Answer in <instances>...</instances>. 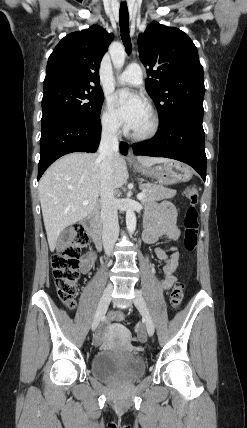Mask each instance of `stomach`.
Instances as JSON below:
<instances>
[{"mask_svg": "<svg viewBox=\"0 0 247 428\" xmlns=\"http://www.w3.org/2000/svg\"><path fill=\"white\" fill-rule=\"evenodd\" d=\"M142 175L155 179L161 185H175L187 182L192 177L191 168L178 161H169L153 167H138Z\"/></svg>", "mask_w": 247, "mask_h": 428, "instance_id": "stomach-1", "label": "stomach"}]
</instances>
